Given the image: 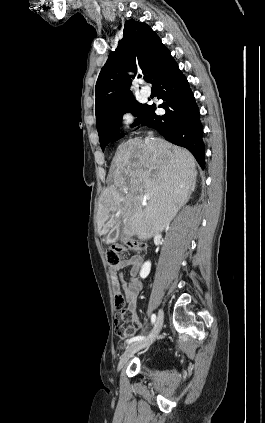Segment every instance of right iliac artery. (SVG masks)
<instances>
[{
	"label": "right iliac artery",
	"instance_id": "right-iliac-artery-1",
	"mask_svg": "<svg viewBox=\"0 0 265 423\" xmlns=\"http://www.w3.org/2000/svg\"><path fill=\"white\" fill-rule=\"evenodd\" d=\"M151 321H152V323H155V321H156V315L155 314H153L151 316ZM143 339H145V336H136V337H133V338L129 339L127 341V343L128 344H131L132 342L140 341V340H143Z\"/></svg>",
	"mask_w": 265,
	"mask_h": 423
}]
</instances>
